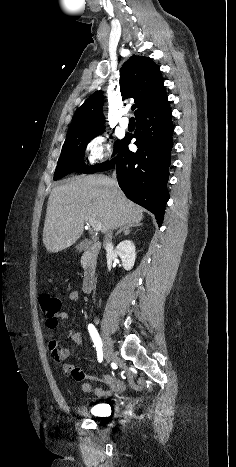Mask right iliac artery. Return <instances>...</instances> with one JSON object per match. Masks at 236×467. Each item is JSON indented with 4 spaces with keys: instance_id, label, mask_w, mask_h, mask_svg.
Instances as JSON below:
<instances>
[{
    "instance_id": "obj_1",
    "label": "right iliac artery",
    "mask_w": 236,
    "mask_h": 467,
    "mask_svg": "<svg viewBox=\"0 0 236 467\" xmlns=\"http://www.w3.org/2000/svg\"><path fill=\"white\" fill-rule=\"evenodd\" d=\"M88 331L90 333V336L94 342V345L96 347V351H97V358H98V361L99 362H102L103 360V351H102V341H101V338L98 334V331L96 330L95 326L93 324H89L88 325Z\"/></svg>"
}]
</instances>
